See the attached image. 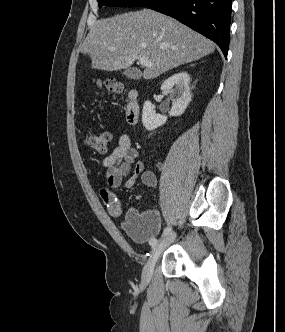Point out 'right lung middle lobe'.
I'll use <instances>...</instances> for the list:
<instances>
[{
  "instance_id": "dd1d6c3e",
  "label": "right lung middle lobe",
  "mask_w": 285,
  "mask_h": 332,
  "mask_svg": "<svg viewBox=\"0 0 285 332\" xmlns=\"http://www.w3.org/2000/svg\"><path fill=\"white\" fill-rule=\"evenodd\" d=\"M99 3V7L103 5H109L111 7L114 6H145L151 0H97Z\"/></svg>"
}]
</instances>
